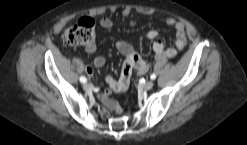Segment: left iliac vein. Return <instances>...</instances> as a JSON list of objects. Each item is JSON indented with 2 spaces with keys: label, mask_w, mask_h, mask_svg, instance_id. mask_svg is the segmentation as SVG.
Wrapping results in <instances>:
<instances>
[{
  "label": "left iliac vein",
  "mask_w": 247,
  "mask_h": 145,
  "mask_svg": "<svg viewBox=\"0 0 247 145\" xmlns=\"http://www.w3.org/2000/svg\"><path fill=\"white\" fill-rule=\"evenodd\" d=\"M154 86V82L153 81H147L146 83H144L142 85V87L146 90H150L152 87Z\"/></svg>",
  "instance_id": "4c4485c4"
}]
</instances>
